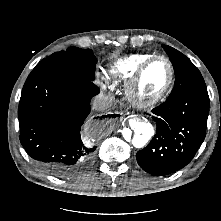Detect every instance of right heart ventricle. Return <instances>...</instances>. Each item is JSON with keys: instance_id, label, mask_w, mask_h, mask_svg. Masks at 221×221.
I'll return each instance as SVG.
<instances>
[{"instance_id": "obj_1", "label": "right heart ventricle", "mask_w": 221, "mask_h": 221, "mask_svg": "<svg viewBox=\"0 0 221 221\" xmlns=\"http://www.w3.org/2000/svg\"><path fill=\"white\" fill-rule=\"evenodd\" d=\"M153 55L152 53H135L118 58L109 66V76L127 82L141 63Z\"/></svg>"}]
</instances>
